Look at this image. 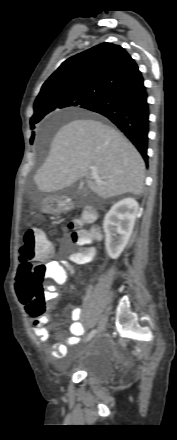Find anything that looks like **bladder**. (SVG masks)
<instances>
[{"label": "bladder", "mask_w": 177, "mask_h": 440, "mask_svg": "<svg viewBox=\"0 0 177 440\" xmlns=\"http://www.w3.org/2000/svg\"><path fill=\"white\" fill-rule=\"evenodd\" d=\"M81 371L95 383L104 384L113 373V363L109 358L90 353L84 357L81 363Z\"/></svg>", "instance_id": "31cf9c89"}]
</instances>
